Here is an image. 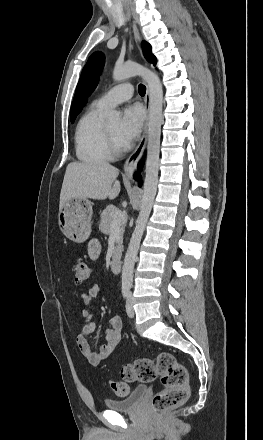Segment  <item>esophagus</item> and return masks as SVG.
<instances>
[{
  "label": "esophagus",
  "instance_id": "1",
  "mask_svg": "<svg viewBox=\"0 0 263 440\" xmlns=\"http://www.w3.org/2000/svg\"><path fill=\"white\" fill-rule=\"evenodd\" d=\"M133 30H134V35H135V40L139 49V53L142 57V52H141V36H140V32L138 30V27L136 25V23H133ZM144 107H145V122H144V127H143V133L141 136V139L137 145V147L135 148V150L131 153V155L127 158V160L125 161L124 164V168H123V176L127 179H131L133 176L134 171L137 168L138 162L140 161L145 147H146V143H147V138H148V122H149V108H150V93H149V87L147 86V90H146V94H145V98H144Z\"/></svg>",
  "mask_w": 263,
  "mask_h": 440
}]
</instances>
